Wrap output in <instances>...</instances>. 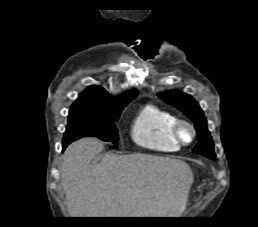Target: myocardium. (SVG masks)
<instances>
[{"label":"myocardium","mask_w":258,"mask_h":227,"mask_svg":"<svg viewBox=\"0 0 258 227\" xmlns=\"http://www.w3.org/2000/svg\"><path fill=\"white\" fill-rule=\"evenodd\" d=\"M187 129L190 133V137L188 140L184 139L183 137V130ZM171 132L175 140L178 142L179 145L187 146L194 142L196 139V129L194 125L185 119H176L174 124L172 125Z\"/></svg>","instance_id":"1"}]
</instances>
